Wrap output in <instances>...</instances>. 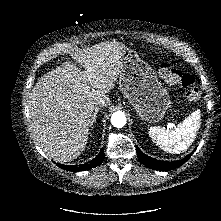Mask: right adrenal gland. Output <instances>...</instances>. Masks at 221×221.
Returning <instances> with one entry per match:
<instances>
[{
  "instance_id": "1",
  "label": "right adrenal gland",
  "mask_w": 221,
  "mask_h": 221,
  "mask_svg": "<svg viewBox=\"0 0 221 221\" xmlns=\"http://www.w3.org/2000/svg\"><path fill=\"white\" fill-rule=\"evenodd\" d=\"M101 108L102 106L95 107L94 114L92 115L91 120H90V124H89L90 127L93 125V123H96L97 113Z\"/></svg>"
}]
</instances>
